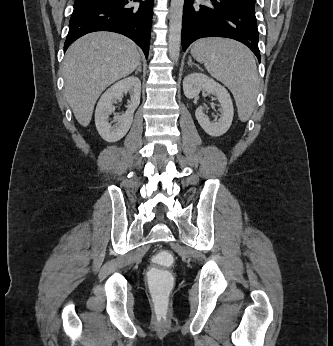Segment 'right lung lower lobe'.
<instances>
[{
	"label": "right lung lower lobe",
	"mask_w": 333,
	"mask_h": 346,
	"mask_svg": "<svg viewBox=\"0 0 333 346\" xmlns=\"http://www.w3.org/2000/svg\"><path fill=\"white\" fill-rule=\"evenodd\" d=\"M154 0H75L64 52L79 37L95 31L123 34L141 47L150 44Z\"/></svg>",
	"instance_id": "obj_1"
}]
</instances>
